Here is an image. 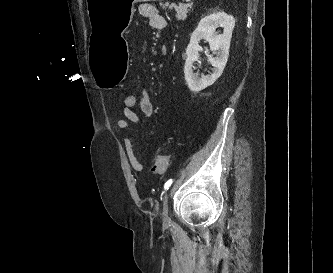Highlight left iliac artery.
I'll return each mask as SVG.
<instances>
[{
    "mask_svg": "<svg viewBox=\"0 0 333 273\" xmlns=\"http://www.w3.org/2000/svg\"><path fill=\"white\" fill-rule=\"evenodd\" d=\"M172 182H173L172 180H168V181L164 184V189H165V190H168L169 187L171 186Z\"/></svg>",
    "mask_w": 333,
    "mask_h": 273,
    "instance_id": "1",
    "label": "left iliac artery"
}]
</instances>
